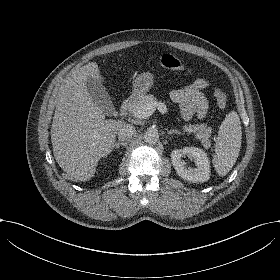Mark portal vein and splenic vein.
<instances>
[{
	"label": "portal vein and splenic vein",
	"mask_w": 280,
	"mask_h": 280,
	"mask_svg": "<svg viewBox=\"0 0 280 280\" xmlns=\"http://www.w3.org/2000/svg\"><path fill=\"white\" fill-rule=\"evenodd\" d=\"M156 110L162 113H168L166 105L161 101H152L147 103L142 110L139 111L138 118L148 117L152 115Z\"/></svg>",
	"instance_id": "obj_1"
}]
</instances>
